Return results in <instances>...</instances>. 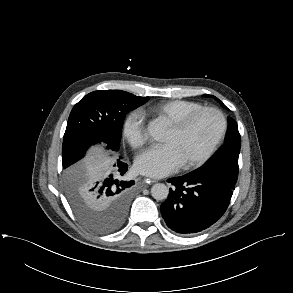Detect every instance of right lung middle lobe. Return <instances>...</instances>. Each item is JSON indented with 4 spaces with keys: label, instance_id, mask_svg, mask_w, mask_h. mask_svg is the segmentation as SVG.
I'll return each instance as SVG.
<instances>
[{
    "label": "right lung middle lobe",
    "instance_id": "1",
    "mask_svg": "<svg viewBox=\"0 0 293 293\" xmlns=\"http://www.w3.org/2000/svg\"><path fill=\"white\" fill-rule=\"evenodd\" d=\"M148 99L121 90L94 91L70 113L62 146L66 194L77 217L94 231L110 232L121 225L123 218L100 213L89 205L84 187L95 175L90 168L75 163L96 143L102 142L107 149L118 151L126 114Z\"/></svg>",
    "mask_w": 293,
    "mask_h": 293
}]
</instances>
